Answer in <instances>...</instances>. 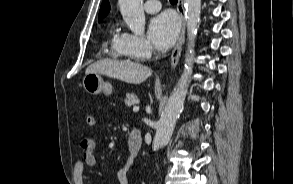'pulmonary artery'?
Masks as SVG:
<instances>
[{
	"label": "pulmonary artery",
	"instance_id": "pulmonary-artery-1",
	"mask_svg": "<svg viewBox=\"0 0 293 184\" xmlns=\"http://www.w3.org/2000/svg\"><path fill=\"white\" fill-rule=\"evenodd\" d=\"M144 9L147 13H156L161 9V3L158 0H147Z\"/></svg>",
	"mask_w": 293,
	"mask_h": 184
}]
</instances>
